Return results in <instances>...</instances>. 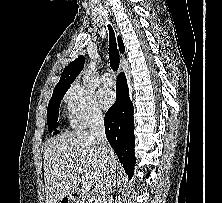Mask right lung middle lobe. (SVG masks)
Returning <instances> with one entry per match:
<instances>
[{"label": "right lung middle lobe", "instance_id": "right-lung-middle-lobe-1", "mask_svg": "<svg viewBox=\"0 0 222 203\" xmlns=\"http://www.w3.org/2000/svg\"><path fill=\"white\" fill-rule=\"evenodd\" d=\"M66 91L67 90L53 92L52 97L49 101L48 109H47V124H48L50 133L53 131V128L55 129L58 125L57 119H58V113H59V105ZM58 133L59 131L55 130L54 134H58Z\"/></svg>", "mask_w": 222, "mask_h": 203}]
</instances>
